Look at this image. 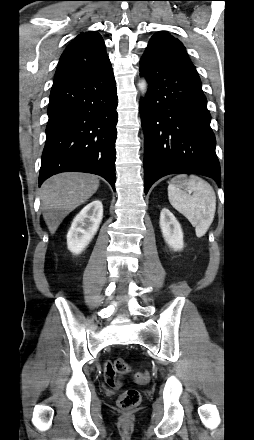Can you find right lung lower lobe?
Here are the masks:
<instances>
[{
    "instance_id": "98d812e1",
    "label": "right lung lower lobe",
    "mask_w": 254,
    "mask_h": 440,
    "mask_svg": "<svg viewBox=\"0 0 254 440\" xmlns=\"http://www.w3.org/2000/svg\"><path fill=\"white\" fill-rule=\"evenodd\" d=\"M117 93L111 64L53 83L39 186L66 171L105 178L115 190Z\"/></svg>"
}]
</instances>
